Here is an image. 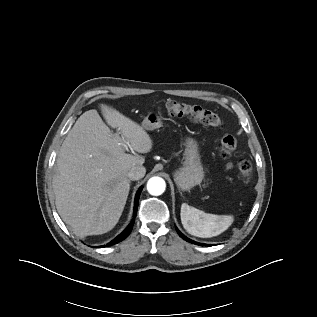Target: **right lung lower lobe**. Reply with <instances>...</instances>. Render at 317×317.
Segmentation results:
<instances>
[{
	"mask_svg": "<svg viewBox=\"0 0 317 317\" xmlns=\"http://www.w3.org/2000/svg\"><path fill=\"white\" fill-rule=\"evenodd\" d=\"M141 191H142V187L139 188V190L137 191L136 197H135L134 217L137 214L139 196H140ZM133 224H134V219L131 221V223L128 225V227L120 235H118L113 241H111L106 246L117 244V243L121 242L122 240H124L125 238H127L128 235L130 234L132 228H133ZM101 247H104V246H98V248H101Z\"/></svg>",
	"mask_w": 317,
	"mask_h": 317,
	"instance_id": "1",
	"label": "right lung lower lobe"
}]
</instances>
